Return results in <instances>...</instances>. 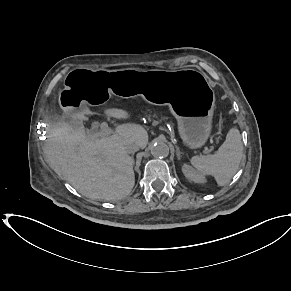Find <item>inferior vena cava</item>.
<instances>
[{
  "label": "inferior vena cava",
  "mask_w": 291,
  "mask_h": 291,
  "mask_svg": "<svg viewBox=\"0 0 291 291\" xmlns=\"http://www.w3.org/2000/svg\"><path fill=\"white\" fill-rule=\"evenodd\" d=\"M125 149L128 153H134L140 149V146L137 143H129L125 146Z\"/></svg>",
  "instance_id": "inferior-vena-cava-1"
}]
</instances>
